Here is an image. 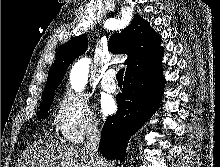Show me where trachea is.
<instances>
[{
    "label": "trachea",
    "instance_id": "1",
    "mask_svg": "<svg viewBox=\"0 0 220 167\" xmlns=\"http://www.w3.org/2000/svg\"><path fill=\"white\" fill-rule=\"evenodd\" d=\"M123 74H124V69H120L116 75V79L119 83L123 82Z\"/></svg>",
    "mask_w": 220,
    "mask_h": 167
}]
</instances>
